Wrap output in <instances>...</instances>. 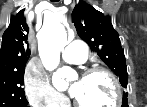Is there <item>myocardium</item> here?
Returning a JSON list of instances; mask_svg holds the SVG:
<instances>
[{"instance_id":"f54148a6","label":"myocardium","mask_w":147,"mask_h":107,"mask_svg":"<svg viewBox=\"0 0 147 107\" xmlns=\"http://www.w3.org/2000/svg\"><path fill=\"white\" fill-rule=\"evenodd\" d=\"M98 74H102V75L107 76L114 87V96H115L114 101L108 107L119 106V104L122 101V88H121V84H120L118 78L116 77V75L113 72H111L110 70H108L104 67L89 68L84 73V77H91V76L98 75ZM73 103L76 107H89V106H86V105L82 104L81 102H79L76 98L74 99Z\"/></svg>"}]
</instances>
